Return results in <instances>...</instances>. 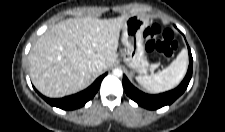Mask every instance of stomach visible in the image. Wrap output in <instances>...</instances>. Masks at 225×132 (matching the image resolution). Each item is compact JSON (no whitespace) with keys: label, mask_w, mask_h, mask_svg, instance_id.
I'll return each mask as SVG.
<instances>
[{"label":"stomach","mask_w":225,"mask_h":132,"mask_svg":"<svg viewBox=\"0 0 225 132\" xmlns=\"http://www.w3.org/2000/svg\"><path fill=\"white\" fill-rule=\"evenodd\" d=\"M148 24V20L143 16L131 15L122 26L123 60L128 67L139 74H146L149 69L143 37Z\"/></svg>","instance_id":"0dacf381"}]
</instances>
